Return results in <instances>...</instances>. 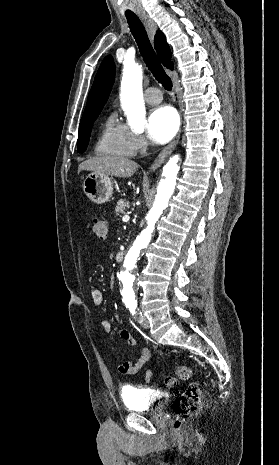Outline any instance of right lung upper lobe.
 Here are the masks:
<instances>
[{"mask_svg": "<svg viewBox=\"0 0 279 465\" xmlns=\"http://www.w3.org/2000/svg\"><path fill=\"white\" fill-rule=\"evenodd\" d=\"M154 43L160 61L164 66L172 70L174 66L171 61V51L161 31L156 32ZM114 81L115 65L112 56H107L101 63L95 77L79 128L89 125L98 117L108 99Z\"/></svg>", "mask_w": 279, "mask_h": 465, "instance_id": "obj_1", "label": "right lung upper lobe"}]
</instances>
